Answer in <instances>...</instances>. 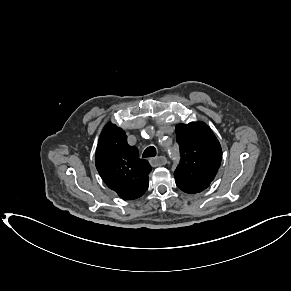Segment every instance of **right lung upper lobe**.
<instances>
[{
	"label": "right lung upper lobe",
	"mask_w": 291,
	"mask_h": 291,
	"mask_svg": "<svg viewBox=\"0 0 291 291\" xmlns=\"http://www.w3.org/2000/svg\"><path fill=\"white\" fill-rule=\"evenodd\" d=\"M96 168L105 184L122 199L141 197L148 189L151 166L127 144L125 132L109 122L103 128L95 154Z\"/></svg>",
	"instance_id": "obj_1"
}]
</instances>
